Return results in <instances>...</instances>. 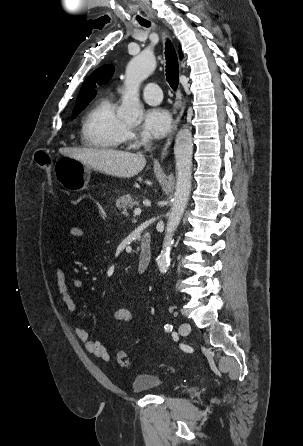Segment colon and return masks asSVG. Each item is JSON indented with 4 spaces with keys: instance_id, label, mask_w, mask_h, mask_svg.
Listing matches in <instances>:
<instances>
[{
    "instance_id": "obj_1",
    "label": "colon",
    "mask_w": 303,
    "mask_h": 446,
    "mask_svg": "<svg viewBox=\"0 0 303 446\" xmlns=\"http://www.w3.org/2000/svg\"><path fill=\"white\" fill-rule=\"evenodd\" d=\"M35 161L40 166V168L43 169L45 176L47 178L48 184H49L50 188L52 189L53 184H52V159H51V157L49 156V154L40 151V152L35 153ZM116 361L122 367H127L129 365L128 356L122 350H119L116 353Z\"/></svg>"
}]
</instances>
